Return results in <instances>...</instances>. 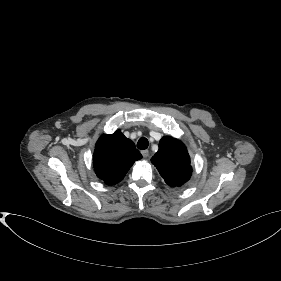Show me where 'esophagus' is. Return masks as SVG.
<instances>
[{"label": "esophagus", "mask_w": 281, "mask_h": 281, "mask_svg": "<svg viewBox=\"0 0 281 281\" xmlns=\"http://www.w3.org/2000/svg\"><path fill=\"white\" fill-rule=\"evenodd\" d=\"M141 154L144 158H147L149 156V151L148 150H142Z\"/></svg>", "instance_id": "obj_1"}]
</instances>
